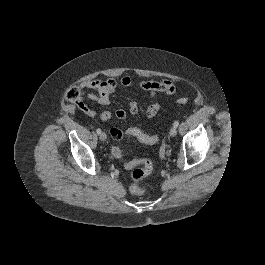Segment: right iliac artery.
Returning <instances> with one entry per match:
<instances>
[{"label":"right iliac artery","mask_w":265,"mask_h":265,"mask_svg":"<svg viewBox=\"0 0 265 265\" xmlns=\"http://www.w3.org/2000/svg\"><path fill=\"white\" fill-rule=\"evenodd\" d=\"M96 132H97V134H100L101 133V129L100 128H97L96 129Z\"/></svg>","instance_id":"right-iliac-artery-1"}]
</instances>
